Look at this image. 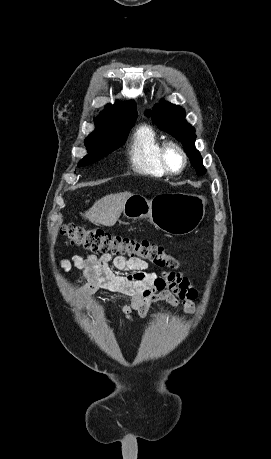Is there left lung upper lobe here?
<instances>
[{
	"label": "left lung upper lobe",
	"mask_w": 271,
	"mask_h": 459,
	"mask_svg": "<svg viewBox=\"0 0 271 459\" xmlns=\"http://www.w3.org/2000/svg\"><path fill=\"white\" fill-rule=\"evenodd\" d=\"M146 116L151 117L161 130L169 133L182 143L187 156L196 169L197 175L205 174L206 169L202 165V157L195 148V130L185 121L183 108L160 101L154 105L151 111L146 112Z\"/></svg>",
	"instance_id": "5c2ea615"
}]
</instances>
